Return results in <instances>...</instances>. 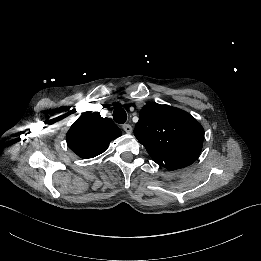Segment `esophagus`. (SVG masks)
Instances as JSON below:
<instances>
[{"label": "esophagus", "instance_id": "34e87169", "mask_svg": "<svg viewBox=\"0 0 261 261\" xmlns=\"http://www.w3.org/2000/svg\"><path fill=\"white\" fill-rule=\"evenodd\" d=\"M122 128L124 129V131H125L126 133H128V134H131V133H132L133 128H132V126H131L130 124H124V125L122 126Z\"/></svg>", "mask_w": 261, "mask_h": 261}]
</instances>
